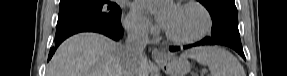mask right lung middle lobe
<instances>
[{"label":"right lung middle lobe","instance_id":"1","mask_svg":"<svg viewBox=\"0 0 287 76\" xmlns=\"http://www.w3.org/2000/svg\"><path fill=\"white\" fill-rule=\"evenodd\" d=\"M121 21L120 7L109 0H61L56 35L89 25H113Z\"/></svg>","mask_w":287,"mask_h":76}]
</instances>
